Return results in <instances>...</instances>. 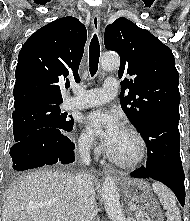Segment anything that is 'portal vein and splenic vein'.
I'll use <instances>...</instances> for the list:
<instances>
[{
    "instance_id": "portal-vein-and-splenic-vein-1",
    "label": "portal vein and splenic vein",
    "mask_w": 190,
    "mask_h": 221,
    "mask_svg": "<svg viewBox=\"0 0 190 221\" xmlns=\"http://www.w3.org/2000/svg\"><path fill=\"white\" fill-rule=\"evenodd\" d=\"M138 209V207L136 206V205H131L130 206V210H132V211H135V210H137Z\"/></svg>"
}]
</instances>
